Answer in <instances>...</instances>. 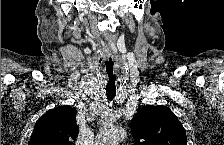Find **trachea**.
I'll return each mask as SVG.
<instances>
[{"label": "trachea", "instance_id": "obj_1", "mask_svg": "<svg viewBox=\"0 0 224 145\" xmlns=\"http://www.w3.org/2000/svg\"><path fill=\"white\" fill-rule=\"evenodd\" d=\"M106 72V96L109 101L113 100L116 96V71L114 70V63L112 60L105 64Z\"/></svg>", "mask_w": 224, "mask_h": 145}]
</instances>
